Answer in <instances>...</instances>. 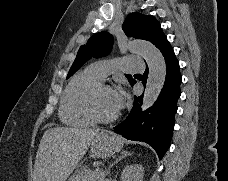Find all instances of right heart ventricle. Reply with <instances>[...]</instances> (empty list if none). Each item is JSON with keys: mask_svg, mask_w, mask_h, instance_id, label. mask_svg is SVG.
I'll use <instances>...</instances> for the list:
<instances>
[{"mask_svg": "<svg viewBox=\"0 0 228 181\" xmlns=\"http://www.w3.org/2000/svg\"><path fill=\"white\" fill-rule=\"evenodd\" d=\"M101 80L86 72L74 75L62 99L61 117L74 125H91L95 123L89 103L94 88Z\"/></svg>", "mask_w": 228, "mask_h": 181, "instance_id": "right-heart-ventricle-1", "label": "right heart ventricle"}]
</instances>
